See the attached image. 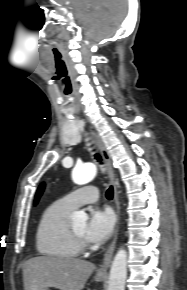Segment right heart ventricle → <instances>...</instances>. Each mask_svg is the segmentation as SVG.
<instances>
[{"label": "right heart ventricle", "mask_w": 187, "mask_h": 290, "mask_svg": "<svg viewBox=\"0 0 187 290\" xmlns=\"http://www.w3.org/2000/svg\"><path fill=\"white\" fill-rule=\"evenodd\" d=\"M73 210L58 200L43 211L36 230V247L40 254L55 259H70L78 255L69 234L68 219Z\"/></svg>", "instance_id": "right-heart-ventricle-1"}]
</instances>
